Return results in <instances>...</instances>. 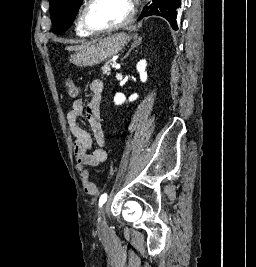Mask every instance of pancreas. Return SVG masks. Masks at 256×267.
<instances>
[{
    "mask_svg": "<svg viewBox=\"0 0 256 267\" xmlns=\"http://www.w3.org/2000/svg\"><path fill=\"white\" fill-rule=\"evenodd\" d=\"M109 62H107V64H105V66H103L102 70H103V74H107V76H110V66H108Z\"/></svg>",
    "mask_w": 256,
    "mask_h": 267,
    "instance_id": "obj_1",
    "label": "pancreas"
}]
</instances>
